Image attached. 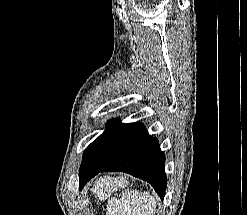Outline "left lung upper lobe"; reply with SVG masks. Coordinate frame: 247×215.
I'll use <instances>...</instances> for the list:
<instances>
[{
  "label": "left lung upper lobe",
  "mask_w": 247,
  "mask_h": 215,
  "mask_svg": "<svg viewBox=\"0 0 247 215\" xmlns=\"http://www.w3.org/2000/svg\"><path fill=\"white\" fill-rule=\"evenodd\" d=\"M118 119H113L108 122L109 127L113 125Z\"/></svg>",
  "instance_id": "obj_1"
}]
</instances>
